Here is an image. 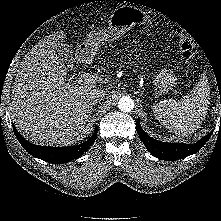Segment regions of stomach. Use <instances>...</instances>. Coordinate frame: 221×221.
<instances>
[{"instance_id": "1", "label": "stomach", "mask_w": 221, "mask_h": 221, "mask_svg": "<svg viewBox=\"0 0 221 221\" xmlns=\"http://www.w3.org/2000/svg\"><path fill=\"white\" fill-rule=\"evenodd\" d=\"M150 22L147 14L132 6L116 8L109 17L106 29L94 30L87 35L86 41L79 50L92 56L104 44L116 40L128 32L138 23ZM176 85V78L172 71L163 69L155 77L154 88L156 95L166 94Z\"/></svg>"}]
</instances>
